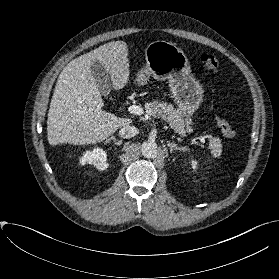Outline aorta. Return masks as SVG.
Instances as JSON below:
<instances>
[{
	"mask_svg": "<svg viewBox=\"0 0 279 279\" xmlns=\"http://www.w3.org/2000/svg\"><path fill=\"white\" fill-rule=\"evenodd\" d=\"M141 151L145 158H154L157 154V144L148 140L142 144Z\"/></svg>",
	"mask_w": 279,
	"mask_h": 279,
	"instance_id": "1",
	"label": "aorta"
}]
</instances>
